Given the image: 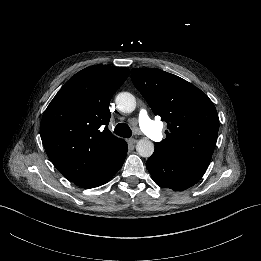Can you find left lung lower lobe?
<instances>
[{
  "mask_svg": "<svg viewBox=\"0 0 261 261\" xmlns=\"http://www.w3.org/2000/svg\"><path fill=\"white\" fill-rule=\"evenodd\" d=\"M209 163L191 157L168 155L155 147L146 166L154 182L175 191L190 188L204 175Z\"/></svg>",
  "mask_w": 261,
  "mask_h": 261,
  "instance_id": "0a47b994",
  "label": "left lung lower lobe"
}]
</instances>
